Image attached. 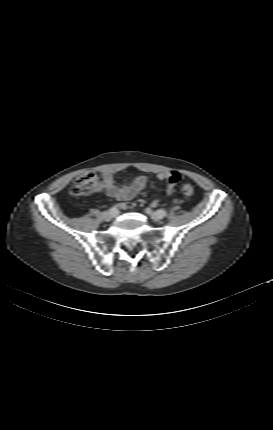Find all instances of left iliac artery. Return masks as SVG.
I'll return each instance as SVG.
<instances>
[{
    "label": "left iliac artery",
    "mask_w": 273,
    "mask_h": 430,
    "mask_svg": "<svg viewBox=\"0 0 273 430\" xmlns=\"http://www.w3.org/2000/svg\"><path fill=\"white\" fill-rule=\"evenodd\" d=\"M179 201H182V198H179ZM161 217H165L167 215V211L160 209L157 211Z\"/></svg>",
    "instance_id": "left-iliac-artery-1"
}]
</instances>
